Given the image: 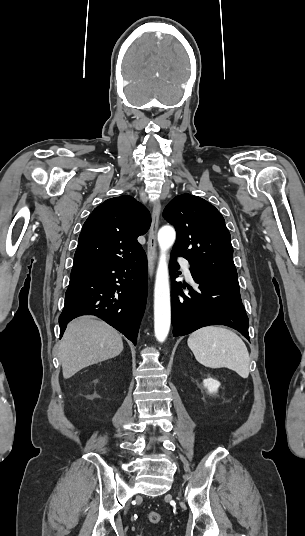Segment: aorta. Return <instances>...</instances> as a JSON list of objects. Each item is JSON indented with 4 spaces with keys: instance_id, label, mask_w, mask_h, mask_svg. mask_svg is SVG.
Instances as JSON below:
<instances>
[{
    "instance_id": "1",
    "label": "aorta",
    "mask_w": 305,
    "mask_h": 536,
    "mask_svg": "<svg viewBox=\"0 0 305 536\" xmlns=\"http://www.w3.org/2000/svg\"><path fill=\"white\" fill-rule=\"evenodd\" d=\"M176 233L173 227L163 226L158 232L160 257L154 287V330L159 342L168 336L171 324L169 270L167 252L173 246Z\"/></svg>"
}]
</instances>
